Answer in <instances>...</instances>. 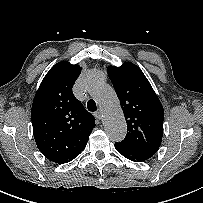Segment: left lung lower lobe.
<instances>
[{
  "label": "left lung lower lobe",
  "mask_w": 203,
  "mask_h": 203,
  "mask_svg": "<svg viewBox=\"0 0 203 203\" xmlns=\"http://www.w3.org/2000/svg\"><path fill=\"white\" fill-rule=\"evenodd\" d=\"M115 148L124 157L128 158L131 161H135V162H142V161L148 160L150 157H152L151 155L142 153L126 144H123L122 142L115 143Z\"/></svg>",
  "instance_id": "left-lung-lower-lobe-1"
}]
</instances>
